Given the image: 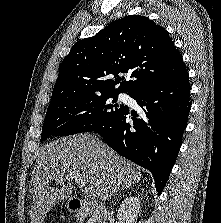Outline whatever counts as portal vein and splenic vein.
<instances>
[{"label":"portal vein and splenic vein","instance_id":"18ae733b","mask_svg":"<svg viewBox=\"0 0 221 223\" xmlns=\"http://www.w3.org/2000/svg\"><path fill=\"white\" fill-rule=\"evenodd\" d=\"M70 180H75L76 183L82 188V191L87 195V196H93L94 195V190L92 187L85 185L81 180H79L76 177L71 176L69 178Z\"/></svg>","mask_w":221,"mask_h":223}]
</instances>
